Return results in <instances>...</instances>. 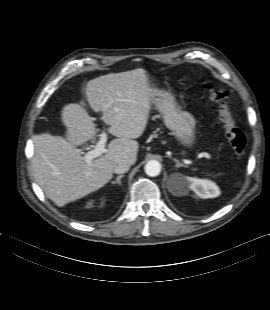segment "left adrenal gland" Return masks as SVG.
<instances>
[{
  "label": "left adrenal gland",
  "instance_id": "obj_1",
  "mask_svg": "<svg viewBox=\"0 0 270 310\" xmlns=\"http://www.w3.org/2000/svg\"><path fill=\"white\" fill-rule=\"evenodd\" d=\"M173 160L176 162V168L178 167H188L187 165L181 163L179 160H177L176 158H173Z\"/></svg>",
  "mask_w": 270,
  "mask_h": 310
}]
</instances>
